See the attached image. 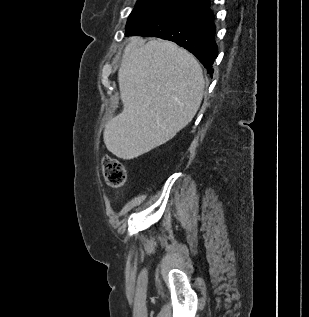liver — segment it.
Masks as SVG:
<instances>
[{"instance_id":"6515ba94","label":"liver","mask_w":309,"mask_h":317,"mask_svg":"<svg viewBox=\"0 0 309 317\" xmlns=\"http://www.w3.org/2000/svg\"><path fill=\"white\" fill-rule=\"evenodd\" d=\"M118 83L123 111L105 125L103 139L112 154L126 160L171 140L192 121L203 98L198 61L160 39H130Z\"/></svg>"}]
</instances>
